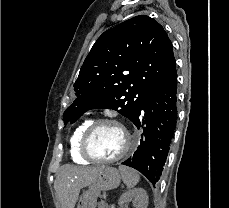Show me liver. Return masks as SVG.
Listing matches in <instances>:
<instances>
[{
  "label": "liver",
  "mask_w": 229,
  "mask_h": 208,
  "mask_svg": "<svg viewBox=\"0 0 229 208\" xmlns=\"http://www.w3.org/2000/svg\"><path fill=\"white\" fill-rule=\"evenodd\" d=\"M104 168L105 166L88 168V166H71V164L62 166L54 184L61 208H75L81 188L90 186Z\"/></svg>",
  "instance_id": "6515ba94"
}]
</instances>
